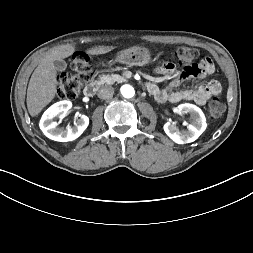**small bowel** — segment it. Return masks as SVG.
<instances>
[{
  "label": "small bowel",
  "instance_id": "1",
  "mask_svg": "<svg viewBox=\"0 0 253 253\" xmlns=\"http://www.w3.org/2000/svg\"><path fill=\"white\" fill-rule=\"evenodd\" d=\"M176 70V65L169 62L157 67L155 73L157 75H171ZM212 70L213 66L210 59L199 58L191 63L182 65L180 76L172 80L166 87L160 88L156 81L152 79L148 82L147 88L159 102L178 103L181 101H193L198 105H205L212 96H217L221 92V87L216 81H207L195 89L176 90V88L190 79L211 73Z\"/></svg>",
  "mask_w": 253,
  "mask_h": 253
}]
</instances>
